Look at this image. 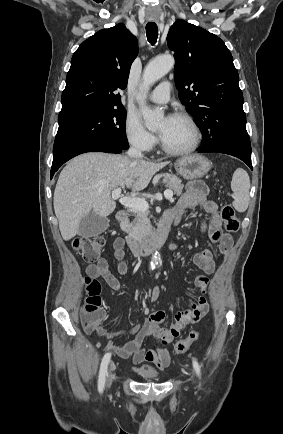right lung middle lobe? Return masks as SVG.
I'll use <instances>...</instances> for the list:
<instances>
[{"label": "right lung middle lobe", "instance_id": "dd1d6c3e", "mask_svg": "<svg viewBox=\"0 0 283 434\" xmlns=\"http://www.w3.org/2000/svg\"><path fill=\"white\" fill-rule=\"evenodd\" d=\"M59 128L53 146V158L89 142H109L128 149L124 107L86 111L58 117Z\"/></svg>", "mask_w": 283, "mask_h": 434}]
</instances>
